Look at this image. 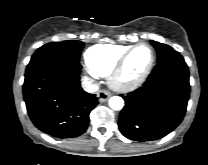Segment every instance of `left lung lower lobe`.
<instances>
[{"instance_id":"0a47b994","label":"left lung lower lobe","mask_w":208,"mask_h":165,"mask_svg":"<svg viewBox=\"0 0 208 165\" xmlns=\"http://www.w3.org/2000/svg\"><path fill=\"white\" fill-rule=\"evenodd\" d=\"M119 117L121 133L135 141H152L173 131L185 116L189 70L183 57L173 54L159 61L142 87L128 93Z\"/></svg>"}]
</instances>
